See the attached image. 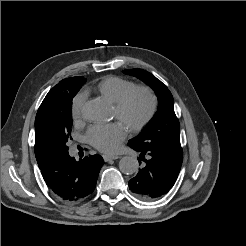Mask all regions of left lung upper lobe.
<instances>
[{"instance_id":"5c2ea615","label":"left lung upper lobe","mask_w":246,"mask_h":246,"mask_svg":"<svg viewBox=\"0 0 246 246\" xmlns=\"http://www.w3.org/2000/svg\"><path fill=\"white\" fill-rule=\"evenodd\" d=\"M125 74L136 76L152 87L158 97V110L145 129L128 145L137 150L159 149L176 156H182L180 126L174 112V99L165 84L151 73L142 69L124 70Z\"/></svg>"}]
</instances>
